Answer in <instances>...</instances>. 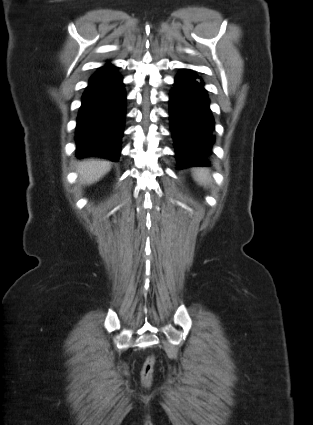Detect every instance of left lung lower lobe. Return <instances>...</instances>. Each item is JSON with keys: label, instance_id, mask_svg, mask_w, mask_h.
<instances>
[{"label": "left lung lower lobe", "instance_id": "obj_1", "mask_svg": "<svg viewBox=\"0 0 313 425\" xmlns=\"http://www.w3.org/2000/svg\"><path fill=\"white\" fill-rule=\"evenodd\" d=\"M169 104L177 167L209 166L205 157L214 143V119L201 78L190 69H182L175 78Z\"/></svg>", "mask_w": 313, "mask_h": 425}]
</instances>
